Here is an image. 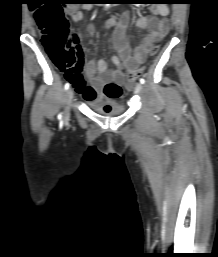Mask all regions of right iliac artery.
I'll list each match as a JSON object with an SVG mask.
<instances>
[{
  "instance_id": "obj_1",
  "label": "right iliac artery",
  "mask_w": 218,
  "mask_h": 257,
  "mask_svg": "<svg viewBox=\"0 0 218 257\" xmlns=\"http://www.w3.org/2000/svg\"><path fill=\"white\" fill-rule=\"evenodd\" d=\"M64 88H65V90H68V88H69V83H66L65 86H64ZM58 119L60 120V122H62V113H60V114L58 115Z\"/></svg>"
}]
</instances>
